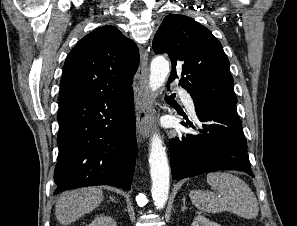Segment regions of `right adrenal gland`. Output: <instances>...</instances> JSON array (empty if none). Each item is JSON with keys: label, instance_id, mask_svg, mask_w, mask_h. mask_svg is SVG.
I'll list each match as a JSON object with an SVG mask.
<instances>
[{"label": "right adrenal gland", "instance_id": "right-adrenal-gland-1", "mask_svg": "<svg viewBox=\"0 0 297 226\" xmlns=\"http://www.w3.org/2000/svg\"><path fill=\"white\" fill-rule=\"evenodd\" d=\"M111 201L116 202L112 197H110Z\"/></svg>", "mask_w": 297, "mask_h": 226}]
</instances>
